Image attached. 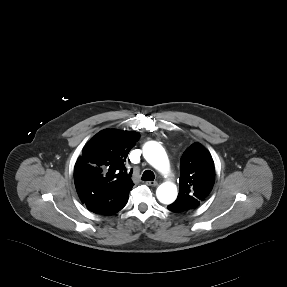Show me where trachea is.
<instances>
[{
	"label": "trachea",
	"mask_w": 287,
	"mask_h": 287,
	"mask_svg": "<svg viewBox=\"0 0 287 287\" xmlns=\"http://www.w3.org/2000/svg\"><path fill=\"white\" fill-rule=\"evenodd\" d=\"M155 178L154 173L151 170H146L142 174V180L144 181H153Z\"/></svg>",
	"instance_id": "obj_1"
}]
</instances>
